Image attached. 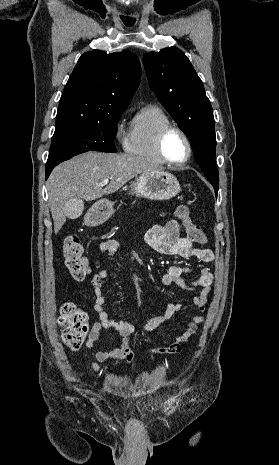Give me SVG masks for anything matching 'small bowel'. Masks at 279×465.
Wrapping results in <instances>:
<instances>
[{
  "instance_id": "small-bowel-1",
  "label": "small bowel",
  "mask_w": 279,
  "mask_h": 465,
  "mask_svg": "<svg viewBox=\"0 0 279 465\" xmlns=\"http://www.w3.org/2000/svg\"><path fill=\"white\" fill-rule=\"evenodd\" d=\"M145 240L154 250L164 255L179 256L183 259H197L205 263L214 260L212 250L196 247L188 237L182 235V227L176 220H170L165 225H154L146 232ZM117 248L118 243L115 239H107L99 246L101 255L106 257L113 256ZM100 259L98 258L96 261V267L99 270L91 279L95 294L94 310L99 314V321L92 325L85 346L87 349H91L95 341L98 340L102 329L116 331L121 340L112 350L99 351L95 354V360L92 363L95 372L100 370L99 363L125 362L131 364L134 360V353L129 348L131 335L136 331H140L153 337L154 329L169 320L181 308L180 303L169 304L163 314L149 318L142 326L113 318L104 307L103 282L108 278V272L100 269ZM191 272L190 268L171 265L162 276V283L165 286L175 284L182 289L194 291L193 304L203 312L208 301L213 275L209 268H202L196 278L188 279L184 277V274ZM205 321L206 318L202 315L192 316L179 335L172 340L161 341V346L152 350V353L176 354L181 352L183 346L196 334L198 326Z\"/></svg>"
}]
</instances>
